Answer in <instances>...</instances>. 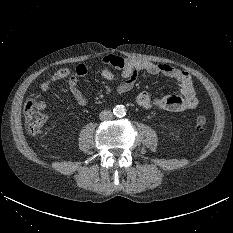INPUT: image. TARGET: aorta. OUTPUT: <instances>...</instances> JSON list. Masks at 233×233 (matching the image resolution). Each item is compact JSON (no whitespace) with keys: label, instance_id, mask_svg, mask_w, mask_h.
<instances>
[{"label":"aorta","instance_id":"obj_1","mask_svg":"<svg viewBox=\"0 0 233 233\" xmlns=\"http://www.w3.org/2000/svg\"><path fill=\"white\" fill-rule=\"evenodd\" d=\"M113 113L117 117H123L126 114V108L123 105L115 106Z\"/></svg>","mask_w":233,"mask_h":233}]
</instances>
